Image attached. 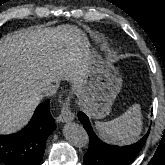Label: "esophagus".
Instances as JSON below:
<instances>
[{"instance_id":"esophagus-1","label":"esophagus","mask_w":165,"mask_h":165,"mask_svg":"<svg viewBox=\"0 0 165 165\" xmlns=\"http://www.w3.org/2000/svg\"><path fill=\"white\" fill-rule=\"evenodd\" d=\"M69 100H66L64 103H63V106H62V109H61V112L58 116V120L61 121V122H70L74 119L75 115L74 113L70 110V107H69Z\"/></svg>"}]
</instances>
